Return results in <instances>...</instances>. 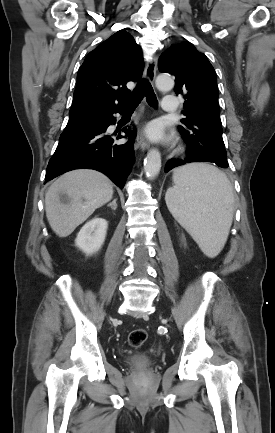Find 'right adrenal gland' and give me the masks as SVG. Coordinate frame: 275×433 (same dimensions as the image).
Listing matches in <instances>:
<instances>
[{
  "mask_svg": "<svg viewBox=\"0 0 275 433\" xmlns=\"http://www.w3.org/2000/svg\"><path fill=\"white\" fill-rule=\"evenodd\" d=\"M116 201H117V198H115L111 203H109L107 206L108 207H111L113 210H116V208H117V203H116Z\"/></svg>",
  "mask_w": 275,
  "mask_h": 433,
  "instance_id": "right-adrenal-gland-1",
  "label": "right adrenal gland"
}]
</instances>
